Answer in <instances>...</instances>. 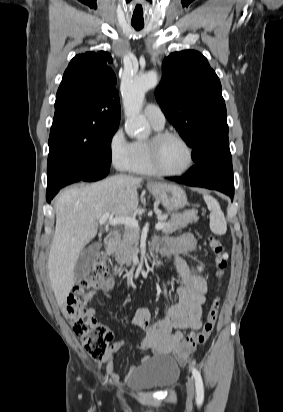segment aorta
<instances>
[{
	"instance_id": "762f6f07",
	"label": "aorta",
	"mask_w": 283,
	"mask_h": 412,
	"mask_svg": "<svg viewBox=\"0 0 283 412\" xmlns=\"http://www.w3.org/2000/svg\"><path fill=\"white\" fill-rule=\"evenodd\" d=\"M158 83L155 73L143 77L124 78L121 85L125 120V131L132 137H145L148 132L144 130V119L141 109L145 93L154 88Z\"/></svg>"
}]
</instances>
